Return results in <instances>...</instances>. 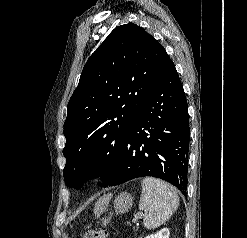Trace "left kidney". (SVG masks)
Instances as JSON below:
<instances>
[{
  "label": "left kidney",
  "mask_w": 247,
  "mask_h": 238,
  "mask_svg": "<svg viewBox=\"0 0 247 238\" xmlns=\"http://www.w3.org/2000/svg\"><path fill=\"white\" fill-rule=\"evenodd\" d=\"M169 235H170L169 229L164 228L156 232L155 234L146 236L145 238H169Z\"/></svg>",
  "instance_id": "left-kidney-1"
}]
</instances>
